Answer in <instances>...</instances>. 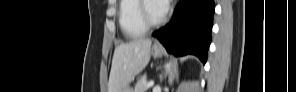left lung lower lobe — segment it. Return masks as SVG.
Masks as SVG:
<instances>
[{"mask_svg": "<svg viewBox=\"0 0 296 92\" xmlns=\"http://www.w3.org/2000/svg\"><path fill=\"white\" fill-rule=\"evenodd\" d=\"M214 0H181L172 20L153 35L176 56L195 54L205 64L210 45Z\"/></svg>", "mask_w": 296, "mask_h": 92, "instance_id": "left-lung-lower-lobe-1", "label": "left lung lower lobe"}]
</instances>
